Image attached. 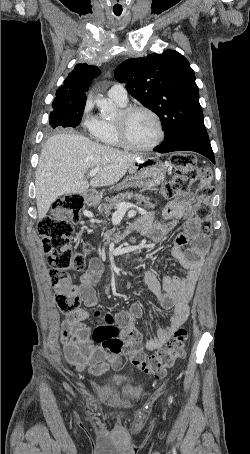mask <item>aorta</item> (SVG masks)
Returning <instances> with one entry per match:
<instances>
[{"mask_svg":"<svg viewBox=\"0 0 250 454\" xmlns=\"http://www.w3.org/2000/svg\"><path fill=\"white\" fill-rule=\"evenodd\" d=\"M96 105L103 111V113H111L114 111L112 102L105 98L96 100Z\"/></svg>","mask_w":250,"mask_h":454,"instance_id":"obj_1","label":"aorta"}]
</instances>
